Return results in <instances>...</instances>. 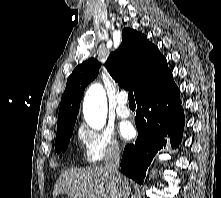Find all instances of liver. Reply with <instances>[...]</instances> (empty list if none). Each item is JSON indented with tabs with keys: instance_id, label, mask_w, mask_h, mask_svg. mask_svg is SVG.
Instances as JSON below:
<instances>
[{
	"instance_id": "6515ba94",
	"label": "liver",
	"mask_w": 221,
	"mask_h": 198,
	"mask_svg": "<svg viewBox=\"0 0 221 198\" xmlns=\"http://www.w3.org/2000/svg\"><path fill=\"white\" fill-rule=\"evenodd\" d=\"M60 193L69 198H126L122 187L103 166L62 171L53 197Z\"/></svg>"
}]
</instances>
